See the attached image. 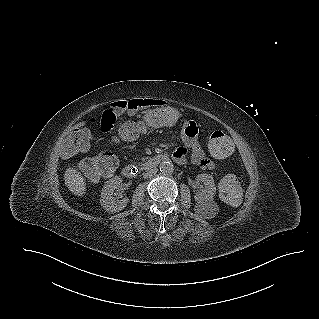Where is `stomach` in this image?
<instances>
[{
	"mask_svg": "<svg viewBox=\"0 0 319 319\" xmlns=\"http://www.w3.org/2000/svg\"><path fill=\"white\" fill-rule=\"evenodd\" d=\"M180 118V113L177 109L170 106H162L153 108L146 112L140 123L143 126V133L157 131L162 126H174Z\"/></svg>",
	"mask_w": 319,
	"mask_h": 319,
	"instance_id": "obj_1",
	"label": "stomach"
}]
</instances>
